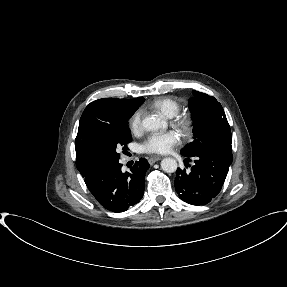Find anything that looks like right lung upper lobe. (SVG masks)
Segmentation results:
<instances>
[{
  "label": "right lung upper lobe",
  "instance_id": "right-lung-upper-lobe-1",
  "mask_svg": "<svg viewBox=\"0 0 287 287\" xmlns=\"http://www.w3.org/2000/svg\"><path fill=\"white\" fill-rule=\"evenodd\" d=\"M143 102V97L106 98L93 101L85 108L75 139L76 166L83 177L97 166L92 155L93 136L109 123L131 117Z\"/></svg>",
  "mask_w": 287,
  "mask_h": 287
}]
</instances>
